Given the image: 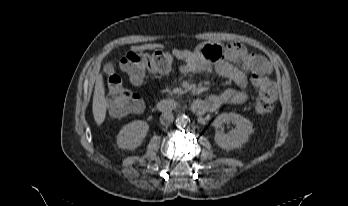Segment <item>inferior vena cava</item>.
Segmentation results:
<instances>
[{
  "instance_id": "inferior-vena-cava-1",
  "label": "inferior vena cava",
  "mask_w": 348,
  "mask_h": 206,
  "mask_svg": "<svg viewBox=\"0 0 348 206\" xmlns=\"http://www.w3.org/2000/svg\"><path fill=\"white\" fill-rule=\"evenodd\" d=\"M174 120V116L171 112L166 111L160 116V122L163 125H169Z\"/></svg>"
}]
</instances>
